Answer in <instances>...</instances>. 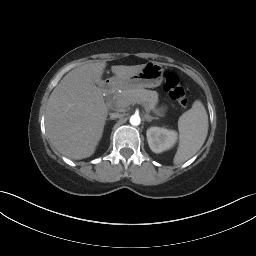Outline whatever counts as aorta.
<instances>
[{"instance_id":"762f6f07","label":"aorta","mask_w":256,"mask_h":256,"mask_svg":"<svg viewBox=\"0 0 256 256\" xmlns=\"http://www.w3.org/2000/svg\"><path fill=\"white\" fill-rule=\"evenodd\" d=\"M130 123H131V125H133V126H138V125H140V123H141L140 116H139V115H132V116L130 117Z\"/></svg>"}]
</instances>
